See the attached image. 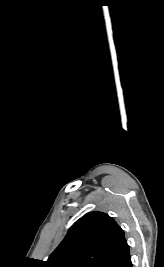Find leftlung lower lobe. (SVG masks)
<instances>
[{"instance_id":"0a47b994","label":"left lung lower lobe","mask_w":164,"mask_h":267,"mask_svg":"<svg viewBox=\"0 0 164 267\" xmlns=\"http://www.w3.org/2000/svg\"><path fill=\"white\" fill-rule=\"evenodd\" d=\"M103 267H132L129 246L125 239Z\"/></svg>"}]
</instances>
